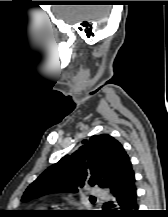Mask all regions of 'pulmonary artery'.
<instances>
[{"label": "pulmonary artery", "mask_w": 168, "mask_h": 217, "mask_svg": "<svg viewBox=\"0 0 168 217\" xmlns=\"http://www.w3.org/2000/svg\"><path fill=\"white\" fill-rule=\"evenodd\" d=\"M91 195L95 196V197H99V198H106L107 195L104 191H102L101 189L98 188H92L90 191Z\"/></svg>", "instance_id": "obj_1"}]
</instances>
